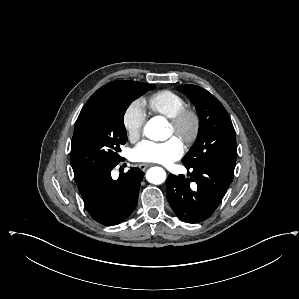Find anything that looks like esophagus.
<instances>
[{"instance_id": "esophagus-1", "label": "esophagus", "mask_w": 299, "mask_h": 299, "mask_svg": "<svg viewBox=\"0 0 299 299\" xmlns=\"http://www.w3.org/2000/svg\"><path fill=\"white\" fill-rule=\"evenodd\" d=\"M149 166H150V164H148V163H141V164L138 165V167H139L142 171H145Z\"/></svg>"}]
</instances>
